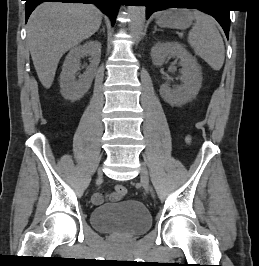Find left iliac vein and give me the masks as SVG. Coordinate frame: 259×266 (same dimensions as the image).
Masks as SVG:
<instances>
[{
	"instance_id": "left-iliac-vein-1",
	"label": "left iliac vein",
	"mask_w": 259,
	"mask_h": 266,
	"mask_svg": "<svg viewBox=\"0 0 259 266\" xmlns=\"http://www.w3.org/2000/svg\"><path fill=\"white\" fill-rule=\"evenodd\" d=\"M140 179H141V184H142L143 188L147 192H151V186L149 183V175H148L147 168L145 167L144 164H142L141 168H140Z\"/></svg>"
}]
</instances>
